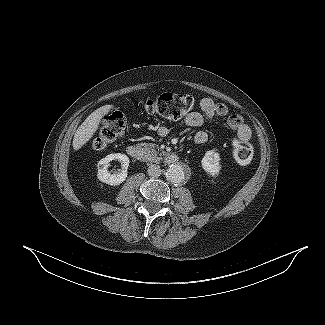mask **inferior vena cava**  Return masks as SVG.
<instances>
[{
    "label": "inferior vena cava",
    "mask_w": 325,
    "mask_h": 325,
    "mask_svg": "<svg viewBox=\"0 0 325 325\" xmlns=\"http://www.w3.org/2000/svg\"><path fill=\"white\" fill-rule=\"evenodd\" d=\"M147 173L151 177H159L161 175V169L158 165H151L148 167Z\"/></svg>",
    "instance_id": "obj_1"
}]
</instances>
